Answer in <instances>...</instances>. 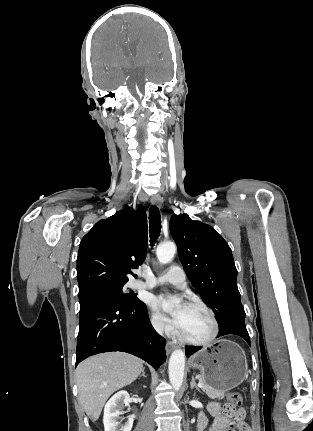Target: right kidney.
<instances>
[{"mask_svg":"<svg viewBox=\"0 0 313 431\" xmlns=\"http://www.w3.org/2000/svg\"><path fill=\"white\" fill-rule=\"evenodd\" d=\"M130 396L126 391H120L110 398L104 408L103 424L105 431H131L134 415L127 417V422L120 426L118 417L123 414V407L129 406Z\"/></svg>","mask_w":313,"mask_h":431,"instance_id":"1","label":"right kidney"}]
</instances>
